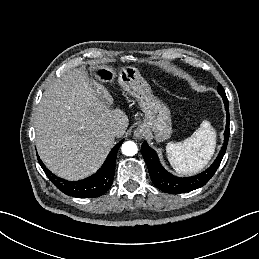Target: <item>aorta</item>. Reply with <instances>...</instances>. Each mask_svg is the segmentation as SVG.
Returning a JSON list of instances; mask_svg holds the SVG:
<instances>
[{
	"instance_id": "obj_1",
	"label": "aorta",
	"mask_w": 259,
	"mask_h": 259,
	"mask_svg": "<svg viewBox=\"0 0 259 259\" xmlns=\"http://www.w3.org/2000/svg\"><path fill=\"white\" fill-rule=\"evenodd\" d=\"M121 151L126 156H133L137 153V145L132 141H127L122 144Z\"/></svg>"
}]
</instances>
